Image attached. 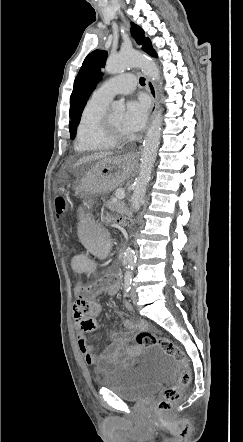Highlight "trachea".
I'll list each match as a JSON object with an SVG mask.
<instances>
[{
  "label": "trachea",
  "instance_id": "3493384b",
  "mask_svg": "<svg viewBox=\"0 0 243 442\" xmlns=\"http://www.w3.org/2000/svg\"><path fill=\"white\" fill-rule=\"evenodd\" d=\"M139 82H140V85L144 86L145 85V78L141 77Z\"/></svg>",
  "mask_w": 243,
  "mask_h": 442
}]
</instances>
